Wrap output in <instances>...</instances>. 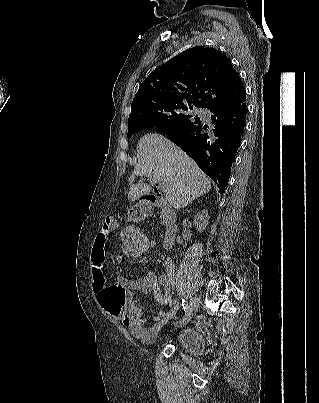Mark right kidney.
<instances>
[{
  "instance_id": "1",
  "label": "right kidney",
  "mask_w": 319,
  "mask_h": 403,
  "mask_svg": "<svg viewBox=\"0 0 319 403\" xmlns=\"http://www.w3.org/2000/svg\"><path fill=\"white\" fill-rule=\"evenodd\" d=\"M208 221H209V215L206 210H202L201 212H198L194 216V225L196 226V229L199 232H203L206 229ZM177 242L179 244H182V240L180 239V237H177Z\"/></svg>"
}]
</instances>
